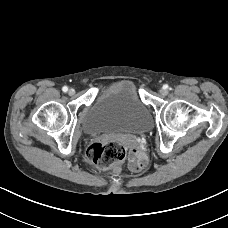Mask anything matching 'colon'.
Returning a JSON list of instances; mask_svg holds the SVG:
<instances>
[{
	"mask_svg": "<svg viewBox=\"0 0 228 228\" xmlns=\"http://www.w3.org/2000/svg\"><path fill=\"white\" fill-rule=\"evenodd\" d=\"M125 155L126 150L122 144L113 140H104L89 147L87 160L99 169H109L123 161Z\"/></svg>",
	"mask_w": 228,
	"mask_h": 228,
	"instance_id": "colon-1",
	"label": "colon"
}]
</instances>
